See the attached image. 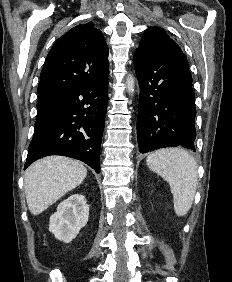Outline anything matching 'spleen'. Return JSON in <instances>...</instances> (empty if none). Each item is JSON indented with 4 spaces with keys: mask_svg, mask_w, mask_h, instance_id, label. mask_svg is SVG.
Returning <instances> with one entry per match:
<instances>
[{
    "mask_svg": "<svg viewBox=\"0 0 232 282\" xmlns=\"http://www.w3.org/2000/svg\"><path fill=\"white\" fill-rule=\"evenodd\" d=\"M148 167L165 179L171 188L174 210L184 216L190 210L197 185V164L184 150L164 149L150 154Z\"/></svg>",
    "mask_w": 232,
    "mask_h": 282,
    "instance_id": "obj_1",
    "label": "spleen"
}]
</instances>
